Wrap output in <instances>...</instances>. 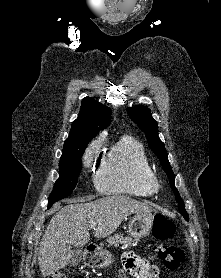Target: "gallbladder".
Returning <instances> with one entry per match:
<instances>
[{"mask_svg":"<svg viewBox=\"0 0 221 278\" xmlns=\"http://www.w3.org/2000/svg\"><path fill=\"white\" fill-rule=\"evenodd\" d=\"M81 260H82V249H77V250L73 251V254L71 255V257L68 261V265L76 266L80 263Z\"/></svg>","mask_w":221,"mask_h":278,"instance_id":"obj_1","label":"gallbladder"}]
</instances>
